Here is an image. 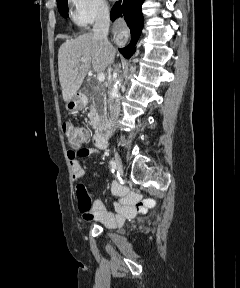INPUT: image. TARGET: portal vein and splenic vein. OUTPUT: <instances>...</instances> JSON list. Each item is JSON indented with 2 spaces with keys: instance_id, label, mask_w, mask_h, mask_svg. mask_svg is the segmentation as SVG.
Here are the masks:
<instances>
[{
  "instance_id": "18ae733b",
  "label": "portal vein and splenic vein",
  "mask_w": 240,
  "mask_h": 288,
  "mask_svg": "<svg viewBox=\"0 0 240 288\" xmlns=\"http://www.w3.org/2000/svg\"><path fill=\"white\" fill-rule=\"evenodd\" d=\"M97 79L99 82H103L105 80V74L103 72H99L97 74Z\"/></svg>"
}]
</instances>
